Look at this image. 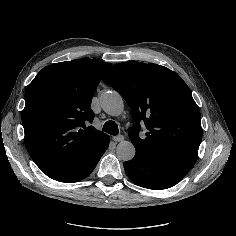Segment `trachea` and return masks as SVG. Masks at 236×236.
I'll use <instances>...</instances> for the list:
<instances>
[{
    "label": "trachea",
    "mask_w": 236,
    "mask_h": 236,
    "mask_svg": "<svg viewBox=\"0 0 236 236\" xmlns=\"http://www.w3.org/2000/svg\"><path fill=\"white\" fill-rule=\"evenodd\" d=\"M103 131L115 136L118 134V126L114 121L109 120L104 123Z\"/></svg>",
    "instance_id": "trachea-1"
}]
</instances>
